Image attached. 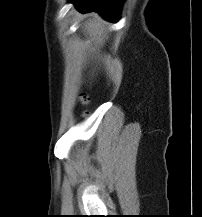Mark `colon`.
Instances as JSON below:
<instances>
[{"label": "colon", "instance_id": "colon-1", "mask_svg": "<svg viewBox=\"0 0 202 217\" xmlns=\"http://www.w3.org/2000/svg\"><path fill=\"white\" fill-rule=\"evenodd\" d=\"M88 102V98L87 97H83L82 98V103H87Z\"/></svg>", "mask_w": 202, "mask_h": 217}]
</instances>
